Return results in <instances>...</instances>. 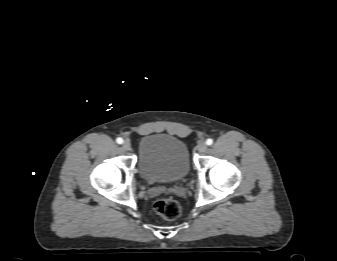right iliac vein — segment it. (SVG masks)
I'll list each match as a JSON object with an SVG mask.
<instances>
[{
    "mask_svg": "<svg viewBox=\"0 0 337 261\" xmlns=\"http://www.w3.org/2000/svg\"><path fill=\"white\" fill-rule=\"evenodd\" d=\"M122 148L126 151L130 150L131 149V144L129 141H124L123 144H122Z\"/></svg>",
    "mask_w": 337,
    "mask_h": 261,
    "instance_id": "1",
    "label": "right iliac vein"
}]
</instances>
